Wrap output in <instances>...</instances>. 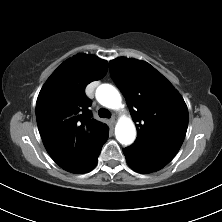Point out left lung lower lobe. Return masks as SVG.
Here are the masks:
<instances>
[{
  "label": "left lung lower lobe",
  "mask_w": 222,
  "mask_h": 222,
  "mask_svg": "<svg viewBox=\"0 0 222 222\" xmlns=\"http://www.w3.org/2000/svg\"><path fill=\"white\" fill-rule=\"evenodd\" d=\"M127 159V163L129 164V166L136 172H139V173H150V172H154L155 170H152L148 167H145L143 165H140V164H137L135 163L134 161Z\"/></svg>",
  "instance_id": "1"
}]
</instances>
